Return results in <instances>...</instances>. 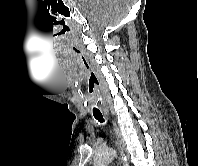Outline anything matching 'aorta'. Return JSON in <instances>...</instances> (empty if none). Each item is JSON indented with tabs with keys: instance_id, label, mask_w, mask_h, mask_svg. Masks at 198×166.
Instances as JSON below:
<instances>
[{
	"instance_id": "aorta-1",
	"label": "aorta",
	"mask_w": 198,
	"mask_h": 166,
	"mask_svg": "<svg viewBox=\"0 0 198 166\" xmlns=\"http://www.w3.org/2000/svg\"><path fill=\"white\" fill-rule=\"evenodd\" d=\"M115 150L112 148H106L97 152L94 157V166H108V164L114 159L115 157Z\"/></svg>"
}]
</instances>
